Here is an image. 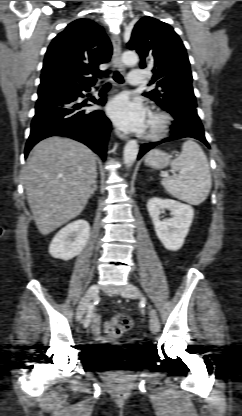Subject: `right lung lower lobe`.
I'll use <instances>...</instances> for the list:
<instances>
[{
	"label": "right lung lower lobe",
	"instance_id": "obj_1",
	"mask_svg": "<svg viewBox=\"0 0 242 416\" xmlns=\"http://www.w3.org/2000/svg\"><path fill=\"white\" fill-rule=\"evenodd\" d=\"M90 86L38 96L31 133L25 147V157L40 140L62 135L84 143L105 159L111 123L102 111L87 112L84 109L85 104L76 101L78 97H83V90H90ZM109 88L110 85L106 84L100 91L102 98H92L91 101L104 105L105 93Z\"/></svg>",
	"mask_w": 242,
	"mask_h": 416
}]
</instances>
